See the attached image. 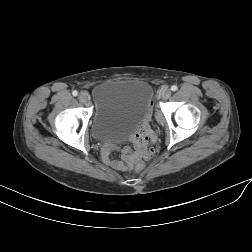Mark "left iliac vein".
<instances>
[{
  "instance_id": "left-iliac-vein-1",
  "label": "left iliac vein",
  "mask_w": 252,
  "mask_h": 252,
  "mask_svg": "<svg viewBox=\"0 0 252 252\" xmlns=\"http://www.w3.org/2000/svg\"><path fill=\"white\" fill-rule=\"evenodd\" d=\"M170 96H171V90L168 88L164 89L161 93L162 99H168Z\"/></svg>"
}]
</instances>
